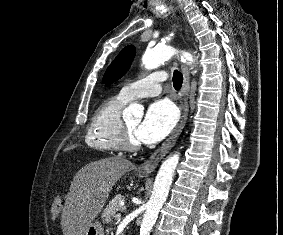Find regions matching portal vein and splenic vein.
Wrapping results in <instances>:
<instances>
[{"label":"portal vein and splenic vein","instance_id":"portal-vein-and-splenic-vein-1","mask_svg":"<svg viewBox=\"0 0 283 235\" xmlns=\"http://www.w3.org/2000/svg\"><path fill=\"white\" fill-rule=\"evenodd\" d=\"M115 218L116 219H120L121 218V213L116 214Z\"/></svg>","mask_w":283,"mask_h":235}]
</instances>
